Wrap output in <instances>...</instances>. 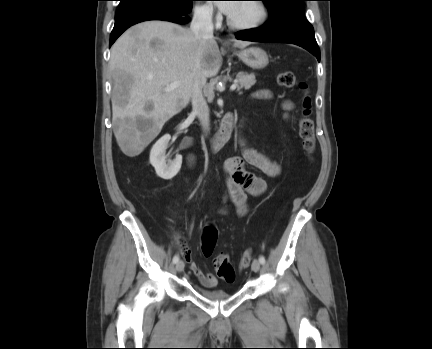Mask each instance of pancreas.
Segmentation results:
<instances>
[{
  "mask_svg": "<svg viewBox=\"0 0 432 349\" xmlns=\"http://www.w3.org/2000/svg\"><path fill=\"white\" fill-rule=\"evenodd\" d=\"M255 83L256 78L254 73L248 74L241 72L236 75L237 91H240L241 89H249Z\"/></svg>",
  "mask_w": 432,
  "mask_h": 349,
  "instance_id": "obj_1",
  "label": "pancreas"
}]
</instances>
